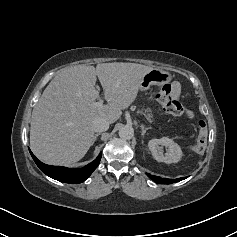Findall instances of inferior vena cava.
I'll return each mask as SVG.
<instances>
[{
  "instance_id": "inferior-vena-cava-1",
  "label": "inferior vena cava",
  "mask_w": 237,
  "mask_h": 237,
  "mask_svg": "<svg viewBox=\"0 0 237 237\" xmlns=\"http://www.w3.org/2000/svg\"><path fill=\"white\" fill-rule=\"evenodd\" d=\"M110 123L104 118H96L93 122V129L96 132H104L109 128Z\"/></svg>"
}]
</instances>
